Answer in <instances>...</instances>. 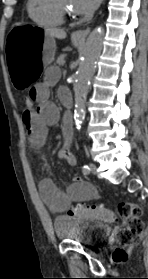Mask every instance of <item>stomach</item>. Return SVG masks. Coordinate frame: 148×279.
<instances>
[{
    "mask_svg": "<svg viewBox=\"0 0 148 279\" xmlns=\"http://www.w3.org/2000/svg\"><path fill=\"white\" fill-rule=\"evenodd\" d=\"M7 49L6 69L10 82H14L13 91H30L35 82L44 75L55 55V41L47 35L41 25H12L5 35ZM75 45L78 42L74 41Z\"/></svg>",
    "mask_w": 148,
    "mask_h": 279,
    "instance_id": "1",
    "label": "stomach"
}]
</instances>
